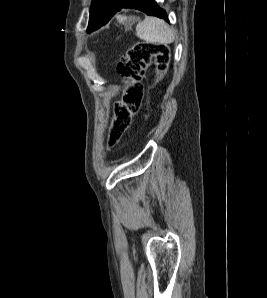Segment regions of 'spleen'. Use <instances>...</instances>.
Instances as JSON below:
<instances>
[{
	"label": "spleen",
	"mask_w": 267,
	"mask_h": 298,
	"mask_svg": "<svg viewBox=\"0 0 267 298\" xmlns=\"http://www.w3.org/2000/svg\"><path fill=\"white\" fill-rule=\"evenodd\" d=\"M136 36L148 43L170 44L174 42V30L156 17H145L136 26Z\"/></svg>",
	"instance_id": "1"
}]
</instances>
